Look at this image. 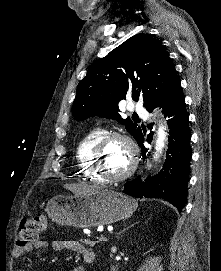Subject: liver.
<instances>
[{
    "label": "liver",
    "instance_id": "obj_1",
    "mask_svg": "<svg viewBox=\"0 0 221 271\" xmlns=\"http://www.w3.org/2000/svg\"><path fill=\"white\" fill-rule=\"evenodd\" d=\"M80 193H86V191H84L83 187H81Z\"/></svg>",
    "mask_w": 221,
    "mask_h": 271
}]
</instances>
